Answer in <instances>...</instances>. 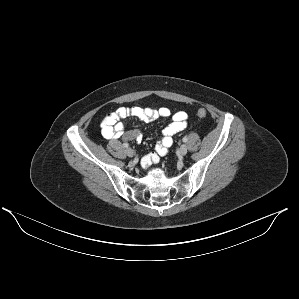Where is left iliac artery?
<instances>
[{"mask_svg": "<svg viewBox=\"0 0 299 299\" xmlns=\"http://www.w3.org/2000/svg\"><path fill=\"white\" fill-rule=\"evenodd\" d=\"M187 140H188L187 137L183 138V142H187Z\"/></svg>", "mask_w": 299, "mask_h": 299, "instance_id": "1", "label": "left iliac artery"}]
</instances>
